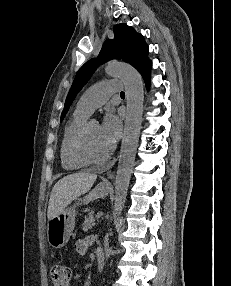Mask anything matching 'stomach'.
<instances>
[{"instance_id": "stomach-1", "label": "stomach", "mask_w": 231, "mask_h": 286, "mask_svg": "<svg viewBox=\"0 0 231 286\" xmlns=\"http://www.w3.org/2000/svg\"><path fill=\"white\" fill-rule=\"evenodd\" d=\"M110 193V187L104 183L96 185L88 194L68 208H65L59 215L53 217L47 224V239L49 244L60 249L70 239L75 226L76 207L88 204L96 199L104 198Z\"/></svg>"}]
</instances>
